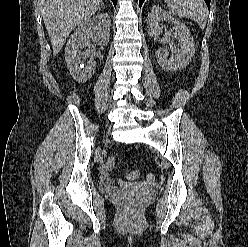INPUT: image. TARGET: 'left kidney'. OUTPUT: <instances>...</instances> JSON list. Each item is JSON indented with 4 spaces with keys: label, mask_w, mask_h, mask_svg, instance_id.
Wrapping results in <instances>:
<instances>
[{
    "label": "left kidney",
    "mask_w": 248,
    "mask_h": 247,
    "mask_svg": "<svg viewBox=\"0 0 248 247\" xmlns=\"http://www.w3.org/2000/svg\"><path fill=\"white\" fill-rule=\"evenodd\" d=\"M161 21H166L174 25V38L179 41L178 53L176 56L168 58L169 53L166 49H161L156 53L157 61L165 71L181 70L186 67L195 54V43L189 29L161 7L154 6L147 19L148 34L157 37L161 34L162 28L159 26Z\"/></svg>",
    "instance_id": "left-kidney-1"
}]
</instances>
